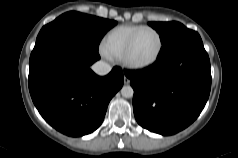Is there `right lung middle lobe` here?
I'll return each mask as SVG.
<instances>
[{
    "mask_svg": "<svg viewBox=\"0 0 238 158\" xmlns=\"http://www.w3.org/2000/svg\"><path fill=\"white\" fill-rule=\"evenodd\" d=\"M116 25V21L70 11L45 25L39 32L36 42L52 34L70 36L93 50H98L104 34Z\"/></svg>",
    "mask_w": 238,
    "mask_h": 158,
    "instance_id": "obj_1",
    "label": "right lung middle lobe"
}]
</instances>
